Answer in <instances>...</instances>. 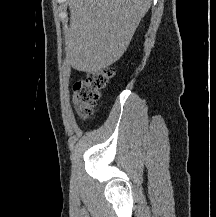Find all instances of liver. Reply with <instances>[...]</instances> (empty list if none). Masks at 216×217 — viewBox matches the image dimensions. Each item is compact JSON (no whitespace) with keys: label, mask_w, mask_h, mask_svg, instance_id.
<instances>
[{"label":"liver","mask_w":216,"mask_h":217,"mask_svg":"<svg viewBox=\"0 0 216 217\" xmlns=\"http://www.w3.org/2000/svg\"><path fill=\"white\" fill-rule=\"evenodd\" d=\"M152 0H69L66 33L69 64L96 73L115 63L126 51Z\"/></svg>","instance_id":"obj_1"}]
</instances>
